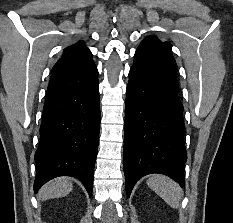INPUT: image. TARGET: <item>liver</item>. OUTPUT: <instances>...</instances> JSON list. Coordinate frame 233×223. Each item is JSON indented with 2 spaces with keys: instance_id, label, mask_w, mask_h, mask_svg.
Returning <instances> with one entry per match:
<instances>
[{
  "instance_id": "obj_1",
  "label": "liver",
  "mask_w": 233,
  "mask_h": 223,
  "mask_svg": "<svg viewBox=\"0 0 233 223\" xmlns=\"http://www.w3.org/2000/svg\"><path fill=\"white\" fill-rule=\"evenodd\" d=\"M72 187V181H69L66 177H59V179H55V181L45 183V185L40 189V195L42 199H50V197H65L67 193H70Z\"/></svg>"
}]
</instances>
